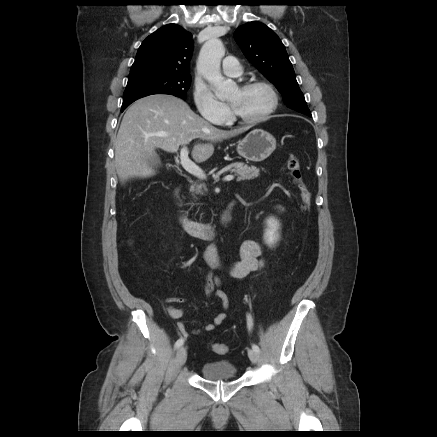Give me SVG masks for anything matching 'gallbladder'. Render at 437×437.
Returning <instances> with one entry per match:
<instances>
[{
	"label": "gallbladder",
	"instance_id": "1",
	"mask_svg": "<svg viewBox=\"0 0 437 437\" xmlns=\"http://www.w3.org/2000/svg\"><path fill=\"white\" fill-rule=\"evenodd\" d=\"M148 162H149V164H150L151 166H157L158 163H159V160H158L157 155L154 154L153 156H151V157L148 159Z\"/></svg>",
	"mask_w": 437,
	"mask_h": 437
}]
</instances>
